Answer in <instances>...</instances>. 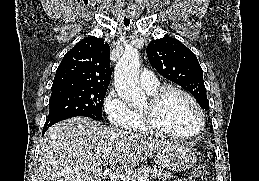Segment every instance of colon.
<instances>
[{"label":"colon","mask_w":259,"mask_h":181,"mask_svg":"<svg viewBox=\"0 0 259 181\" xmlns=\"http://www.w3.org/2000/svg\"><path fill=\"white\" fill-rule=\"evenodd\" d=\"M189 181H207V171L204 165H196L190 174Z\"/></svg>","instance_id":"1"}]
</instances>
